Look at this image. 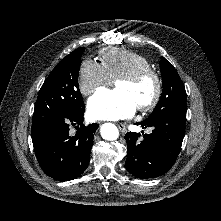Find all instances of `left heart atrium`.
<instances>
[{
    "label": "left heart atrium",
    "instance_id": "39dd6f15",
    "mask_svg": "<svg viewBox=\"0 0 221 221\" xmlns=\"http://www.w3.org/2000/svg\"><path fill=\"white\" fill-rule=\"evenodd\" d=\"M137 106L131 96L119 89L100 90L87 103L89 116L94 120H118L128 118Z\"/></svg>",
    "mask_w": 221,
    "mask_h": 221
}]
</instances>
